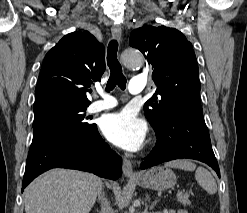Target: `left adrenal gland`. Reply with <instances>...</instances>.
<instances>
[{"label": "left adrenal gland", "mask_w": 247, "mask_h": 213, "mask_svg": "<svg viewBox=\"0 0 247 213\" xmlns=\"http://www.w3.org/2000/svg\"><path fill=\"white\" fill-rule=\"evenodd\" d=\"M146 199H147L148 201L150 200V198H149L148 195H146ZM157 202H158V199L154 200V201L152 202V204L150 205L149 209L152 210V209L155 207V205L157 204Z\"/></svg>", "instance_id": "obj_1"}]
</instances>
